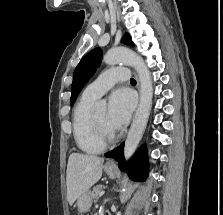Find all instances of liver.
<instances>
[{
	"label": "liver",
	"mask_w": 223,
	"mask_h": 215,
	"mask_svg": "<svg viewBox=\"0 0 223 215\" xmlns=\"http://www.w3.org/2000/svg\"><path fill=\"white\" fill-rule=\"evenodd\" d=\"M103 157L71 153L66 171L67 199L73 205L81 193L88 191L102 175Z\"/></svg>",
	"instance_id": "6515ba94"
}]
</instances>
